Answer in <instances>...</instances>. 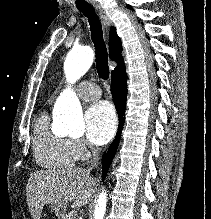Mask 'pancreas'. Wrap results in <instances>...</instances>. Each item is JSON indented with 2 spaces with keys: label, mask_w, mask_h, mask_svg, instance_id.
Masks as SVG:
<instances>
[{
  "label": "pancreas",
  "mask_w": 211,
  "mask_h": 219,
  "mask_svg": "<svg viewBox=\"0 0 211 219\" xmlns=\"http://www.w3.org/2000/svg\"><path fill=\"white\" fill-rule=\"evenodd\" d=\"M61 219H77L76 218V213H70V214H67V215H63L61 217Z\"/></svg>",
  "instance_id": "cf45deb5"
}]
</instances>
